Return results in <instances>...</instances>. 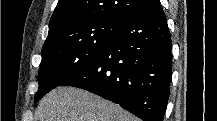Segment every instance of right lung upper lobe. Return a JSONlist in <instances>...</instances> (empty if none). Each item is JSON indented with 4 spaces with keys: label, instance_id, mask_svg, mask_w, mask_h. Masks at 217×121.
<instances>
[{
    "label": "right lung upper lobe",
    "instance_id": "obj_1",
    "mask_svg": "<svg viewBox=\"0 0 217 121\" xmlns=\"http://www.w3.org/2000/svg\"><path fill=\"white\" fill-rule=\"evenodd\" d=\"M152 0H59L49 23L48 44L73 27L100 20L124 22Z\"/></svg>",
    "mask_w": 217,
    "mask_h": 121
}]
</instances>
